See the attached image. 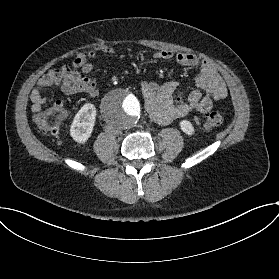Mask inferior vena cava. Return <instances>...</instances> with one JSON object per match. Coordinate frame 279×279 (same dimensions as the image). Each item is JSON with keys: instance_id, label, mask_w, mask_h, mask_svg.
<instances>
[{"instance_id": "inferior-vena-cava-1", "label": "inferior vena cava", "mask_w": 279, "mask_h": 279, "mask_svg": "<svg viewBox=\"0 0 279 279\" xmlns=\"http://www.w3.org/2000/svg\"><path fill=\"white\" fill-rule=\"evenodd\" d=\"M120 132H121V131L116 130L114 133H115V134H120Z\"/></svg>"}]
</instances>
